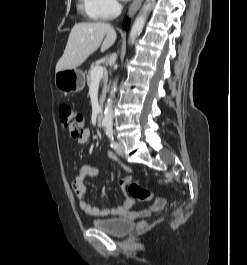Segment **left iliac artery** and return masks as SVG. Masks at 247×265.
Wrapping results in <instances>:
<instances>
[{
    "instance_id": "left-iliac-artery-1",
    "label": "left iliac artery",
    "mask_w": 247,
    "mask_h": 265,
    "mask_svg": "<svg viewBox=\"0 0 247 265\" xmlns=\"http://www.w3.org/2000/svg\"><path fill=\"white\" fill-rule=\"evenodd\" d=\"M106 135L108 136V138L111 141V147L114 148V149H116L118 147V144L114 140L112 125H107L106 126Z\"/></svg>"
}]
</instances>
